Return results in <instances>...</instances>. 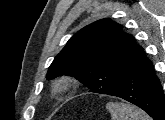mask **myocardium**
Segmentation results:
<instances>
[{
  "label": "myocardium",
  "instance_id": "obj_1",
  "mask_svg": "<svg viewBox=\"0 0 165 120\" xmlns=\"http://www.w3.org/2000/svg\"><path fill=\"white\" fill-rule=\"evenodd\" d=\"M72 87V81L70 78L68 77H63L58 79L55 83H54V90L57 93H65L67 92L70 88Z\"/></svg>",
  "mask_w": 165,
  "mask_h": 120
}]
</instances>
